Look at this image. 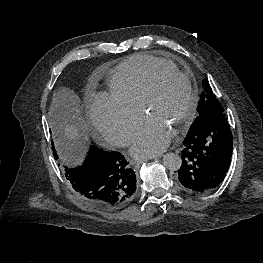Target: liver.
<instances>
[{
	"instance_id": "obj_1",
	"label": "liver",
	"mask_w": 263,
	"mask_h": 263,
	"mask_svg": "<svg viewBox=\"0 0 263 263\" xmlns=\"http://www.w3.org/2000/svg\"><path fill=\"white\" fill-rule=\"evenodd\" d=\"M79 102L80 99L75 92L67 88L57 90L53 96V113L63 122L60 130L69 141H76L81 137L76 124Z\"/></svg>"
}]
</instances>
